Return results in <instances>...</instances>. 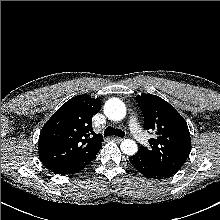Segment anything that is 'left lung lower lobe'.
<instances>
[{
  "instance_id": "obj_1",
  "label": "left lung lower lobe",
  "mask_w": 220,
  "mask_h": 220,
  "mask_svg": "<svg viewBox=\"0 0 220 220\" xmlns=\"http://www.w3.org/2000/svg\"><path fill=\"white\" fill-rule=\"evenodd\" d=\"M129 161L141 174L148 178H167L177 172L159 165L138 152L134 156L129 157Z\"/></svg>"
}]
</instances>
